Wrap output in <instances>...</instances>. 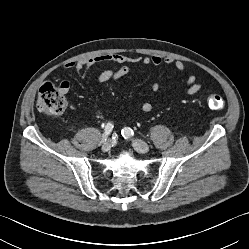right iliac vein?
Here are the masks:
<instances>
[{"label": "right iliac vein", "mask_w": 249, "mask_h": 249, "mask_svg": "<svg viewBox=\"0 0 249 249\" xmlns=\"http://www.w3.org/2000/svg\"><path fill=\"white\" fill-rule=\"evenodd\" d=\"M112 141L111 139H108L104 142L102 145V151L103 152H108L111 149Z\"/></svg>", "instance_id": "right-iliac-vein-1"}]
</instances>
